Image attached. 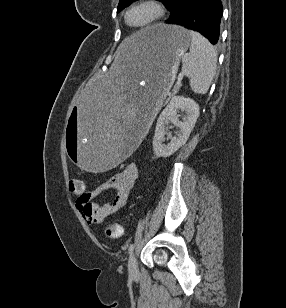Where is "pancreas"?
Here are the masks:
<instances>
[{
  "mask_svg": "<svg viewBox=\"0 0 286 308\" xmlns=\"http://www.w3.org/2000/svg\"><path fill=\"white\" fill-rule=\"evenodd\" d=\"M178 90H179V87L178 86L175 87L174 90H173V93L170 95V97L173 96L174 94H176L178 92Z\"/></svg>",
  "mask_w": 286,
  "mask_h": 308,
  "instance_id": "1",
  "label": "pancreas"
}]
</instances>
